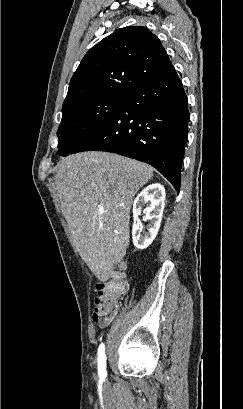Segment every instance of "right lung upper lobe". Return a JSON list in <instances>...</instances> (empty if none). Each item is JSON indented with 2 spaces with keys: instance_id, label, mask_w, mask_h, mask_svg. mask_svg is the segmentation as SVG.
<instances>
[{
  "instance_id": "obj_1",
  "label": "right lung upper lobe",
  "mask_w": 243,
  "mask_h": 409,
  "mask_svg": "<svg viewBox=\"0 0 243 409\" xmlns=\"http://www.w3.org/2000/svg\"><path fill=\"white\" fill-rule=\"evenodd\" d=\"M174 71L160 40L149 29L120 28L86 53L62 108L91 99L127 97Z\"/></svg>"
}]
</instances>
